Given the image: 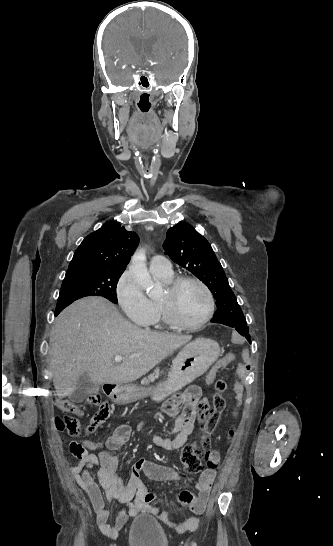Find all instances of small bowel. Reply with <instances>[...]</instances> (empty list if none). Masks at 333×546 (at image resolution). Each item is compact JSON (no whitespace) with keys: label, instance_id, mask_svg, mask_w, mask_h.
I'll return each mask as SVG.
<instances>
[{"label":"small bowel","instance_id":"c3829d8e","mask_svg":"<svg viewBox=\"0 0 333 546\" xmlns=\"http://www.w3.org/2000/svg\"><path fill=\"white\" fill-rule=\"evenodd\" d=\"M231 346L242 347L243 337L239 331L231 334ZM248 351L246 348L243 350ZM237 354L233 348L227 351L211 363L209 368L208 381L206 386H212L214 374L227 372L229 365H232ZM243 361L249 360L248 354L240 357ZM201 391L198 387L192 386L185 391L172 396L163 405L165 412L170 416H177L171 432L176 433L174 439L153 436L152 442L167 451L178 452L186 444L194 428L196 416L195 405L200 399ZM183 405V410L179 413V407ZM130 429L121 425L103 442L92 440L71 441L69 443V452L76 458V462L71 467L70 472L78 485L88 495L95 518L100 531L108 538L117 536L118 530L127 522L129 517L136 516L141 512L153 514L166 528L179 533H187L196 530L201 522V514L204 512L212 489L216 473L212 469L202 471L197 484L198 497L191 505L190 509L193 515L175 522L169 518L171 508L158 509L154 496L147 489L146 484L141 478V473L154 480H174L177 479V473L170 467L162 466L151 461L139 459L132 467L128 480H123L118 473V459L114 451L119 449L129 438ZM105 446V449H101ZM94 450H100L97 454ZM219 452L213 450L210 453L209 460L217 462ZM98 467L97 484L92 475V470ZM104 489L105 497L110 502L123 504L124 507L118 511L113 524L108 522L110 513L105 507L104 496L101 488Z\"/></svg>","mask_w":333,"mask_h":546}]
</instances>
